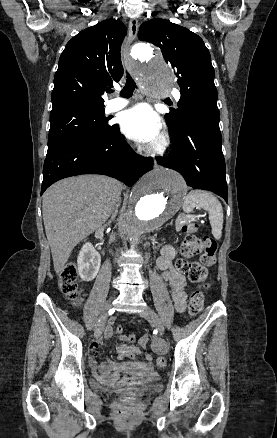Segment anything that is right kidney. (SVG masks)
<instances>
[{
    "mask_svg": "<svg viewBox=\"0 0 277 438\" xmlns=\"http://www.w3.org/2000/svg\"><path fill=\"white\" fill-rule=\"evenodd\" d=\"M77 266L78 274L83 282H92L96 278L101 266V256L90 242L82 246Z\"/></svg>",
    "mask_w": 277,
    "mask_h": 438,
    "instance_id": "obj_1",
    "label": "right kidney"
}]
</instances>
